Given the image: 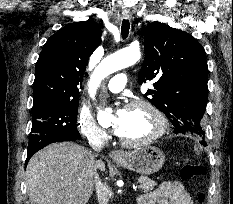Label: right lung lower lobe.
<instances>
[{"label":"right lung lower lobe","instance_id":"98d812e1","mask_svg":"<svg viewBox=\"0 0 233 204\" xmlns=\"http://www.w3.org/2000/svg\"><path fill=\"white\" fill-rule=\"evenodd\" d=\"M78 138H63V139H59L55 142H60V141H73V140H77ZM37 151H28L27 153V159L25 164L27 165L28 161L30 160V158L33 156V154H35Z\"/></svg>","mask_w":233,"mask_h":204}]
</instances>
